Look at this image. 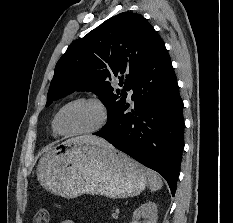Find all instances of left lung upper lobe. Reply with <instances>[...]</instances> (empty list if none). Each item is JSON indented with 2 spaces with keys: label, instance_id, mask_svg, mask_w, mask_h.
Instances as JSON below:
<instances>
[{
  "label": "left lung upper lobe",
  "instance_id": "left-lung-upper-lobe-1",
  "mask_svg": "<svg viewBox=\"0 0 233 223\" xmlns=\"http://www.w3.org/2000/svg\"><path fill=\"white\" fill-rule=\"evenodd\" d=\"M159 39L151 24L137 13L123 12L104 22L73 42L59 59L46 107L76 90L92 91L106 106L109 123L125 105V91L132 89ZM125 73L118 96L110 81ZM119 79L123 83V76Z\"/></svg>",
  "mask_w": 233,
  "mask_h": 223
}]
</instances>
